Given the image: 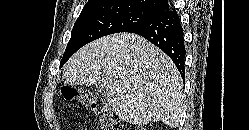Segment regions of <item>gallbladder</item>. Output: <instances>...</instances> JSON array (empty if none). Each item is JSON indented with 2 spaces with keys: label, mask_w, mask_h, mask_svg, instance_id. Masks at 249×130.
<instances>
[{
  "label": "gallbladder",
  "mask_w": 249,
  "mask_h": 130,
  "mask_svg": "<svg viewBox=\"0 0 249 130\" xmlns=\"http://www.w3.org/2000/svg\"><path fill=\"white\" fill-rule=\"evenodd\" d=\"M92 91L94 95L98 97H105L107 95L106 88L102 86L101 84H95L94 86H92Z\"/></svg>",
  "instance_id": "bac80fb5"
}]
</instances>
